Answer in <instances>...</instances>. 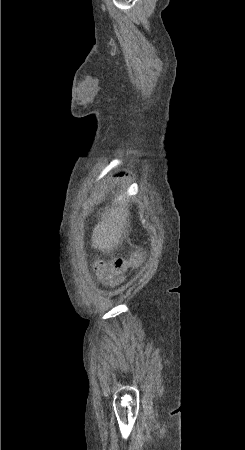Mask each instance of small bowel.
<instances>
[{
    "instance_id": "c3829d8e",
    "label": "small bowel",
    "mask_w": 245,
    "mask_h": 450,
    "mask_svg": "<svg viewBox=\"0 0 245 450\" xmlns=\"http://www.w3.org/2000/svg\"><path fill=\"white\" fill-rule=\"evenodd\" d=\"M110 265V263L108 264V266ZM118 274L115 273L113 270H111L110 268L106 269V272L100 276L101 279L110 282V283H117L120 281V279H114V276H117Z\"/></svg>"
}]
</instances>
